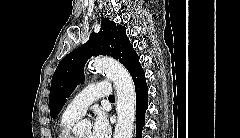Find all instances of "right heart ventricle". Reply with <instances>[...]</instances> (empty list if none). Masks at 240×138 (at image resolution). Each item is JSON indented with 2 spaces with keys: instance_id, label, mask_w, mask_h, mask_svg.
<instances>
[{
  "instance_id": "obj_1",
  "label": "right heart ventricle",
  "mask_w": 240,
  "mask_h": 138,
  "mask_svg": "<svg viewBox=\"0 0 240 138\" xmlns=\"http://www.w3.org/2000/svg\"><path fill=\"white\" fill-rule=\"evenodd\" d=\"M78 117L63 115L59 124L58 138H75L72 133V126Z\"/></svg>"
}]
</instances>
